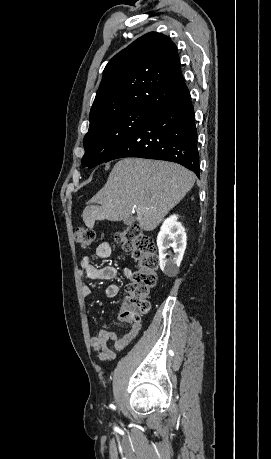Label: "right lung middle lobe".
Segmentation results:
<instances>
[{
    "mask_svg": "<svg viewBox=\"0 0 271 459\" xmlns=\"http://www.w3.org/2000/svg\"><path fill=\"white\" fill-rule=\"evenodd\" d=\"M156 110L136 106L128 110L102 115L90 121L83 144L82 166L93 168L109 157Z\"/></svg>",
    "mask_w": 271,
    "mask_h": 459,
    "instance_id": "1",
    "label": "right lung middle lobe"
}]
</instances>
